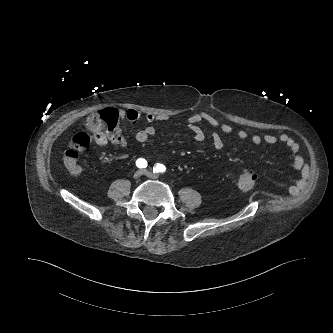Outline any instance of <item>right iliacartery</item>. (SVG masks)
Listing matches in <instances>:
<instances>
[{
    "mask_svg": "<svg viewBox=\"0 0 333 333\" xmlns=\"http://www.w3.org/2000/svg\"><path fill=\"white\" fill-rule=\"evenodd\" d=\"M147 161L144 159V158H139V159H137V161H136V166L138 167V168H145V167H147Z\"/></svg>",
    "mask_w": 333,
    "mask_h": 333,
    "instance_id": "obj_1",
    "label": "right iliac artery"
}]
</instances>
